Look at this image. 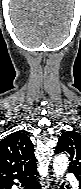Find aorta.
Returning <instances> with one entry per match:
<instances>
[{
    "instance_id": "obj_1",
    "label": "aorta",
    "mask_w": 81,
    "mask_h": 189,
    "mask_svg": "<svg viewBox=\"0 0 81 189\" xmlns=\"http://www.w3.org/2000/svg\"><path fill=\"white\" fill-rule=\"evenodd\" d=\"M68 164V157L65 155H59L55 158L53 162V169L57 177L63 176V174L67 170Z\"/></svg>"
}]
</instances>
